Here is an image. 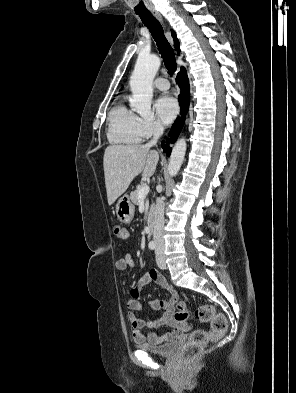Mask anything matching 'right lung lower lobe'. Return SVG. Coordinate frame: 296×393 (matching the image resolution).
<instances>
[{
  "label": "right lung lower lobe",
  "instance_id": "98d812e1",
  "mask_svg": "<svg viewBox=\"0 0 296 393\" xmlns=\"http://www.w3.org/2000/svg\"><path fill=\"white\" fill-rule=\"evenodd\" d=\"M177 83L181 89V93L179 95V102H180V106H181V114L182 117L179 118L177 121H175L174 126L171 130L170 133V137L171 139L167 142L166 145H164V143H162V148L164 150V152H167V155H170V151L171 148L169 147V142L174 143V141L176 140L181 127L183 125V121H184V115L188 109L189 106V81H188V77L186 74V70L182 67L181 71L178 73L177 75Z\"/></svg>",
  "mask_w": 296,
  "mask_h": 393
}]
</instances>
